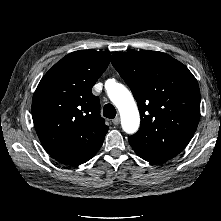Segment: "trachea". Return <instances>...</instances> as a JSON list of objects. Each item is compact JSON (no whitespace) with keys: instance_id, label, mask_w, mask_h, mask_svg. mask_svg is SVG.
<instances>
[{"instance_id":"1","label":"trachea","mask_w":221,"mask_h":221,"mask_svg":"<svg viewBox=\"0 0 221 221\" xmlns=\"http://www.w3.org/2000/svg\"><path fill=\"white\" fill-rule=\"evenodd\" d=\"M103 116L113 119L116 116V109L112 104H106L103 108Z\"/></svg>"}]
</instances>
